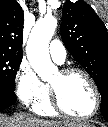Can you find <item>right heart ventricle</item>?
I'll use <instances>...</instances> for the list:
<instances>
[{
    "label": "right heart ventricle",
    "mask_w": 108,
    "mask_h": 127,
    "mask_svg": "<svg viewBox=\"0 0 108 127\" xmlns=\"http://www.w3.org/2000/svg\"><path fill=\"white\" fill-rule=\"evenodd\" d=\"M35 113L42 116H56L58 112L53 108L50 96V89L45 85V93L43 97L33 106Z\"/></svg>",
    "instance_id": "1"
}]
</instances>
